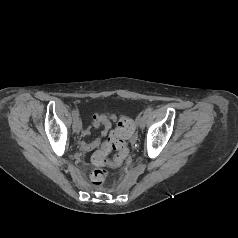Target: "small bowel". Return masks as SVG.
Instances as JSON below:
<instances>
[{"mask_svg": "<svg viewBox=\"0 0 238 238\" xmlns=\"http://www.w3.org/2000/svg\"><path fill=\"white\" fill-rule=\"evenodd\" d=\"M116 120L115 115L95 114L92 117V125L95 128H101L100 134L94 140L90 142L82 141L80 146L84 151H91L98 148L101 145L102 139L107 136L112 121ZM89 135V131L85 130L83 136ZM106 146V142L103 143L102 147Z\"/></svg>", "mask_w": 238, "mask_h": 238, "instance_id": "obj_1", "label": "small bowel"}]
</instances>
